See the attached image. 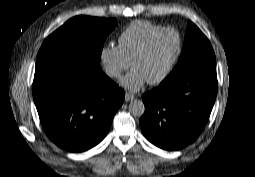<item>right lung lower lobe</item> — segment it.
<instances>
[{
  "mask_svg": "<svg viewBox=\"0 0 255 177\" xmlns=\"http://www.w3.org/2000/svg\"><path fill=\"white\" fill-rule=\"evenodd\" d=\"M33 98L49 138L83 152L106 136L124 91L102 69L58 63L35 69Z\"/></svg>",
  "mask_w": 255,
  "mask_h": 177,
  "instance_id": "right-lung-lower-lobe-1",
  "label": "right lung lower lobe"
}]
</instances>
